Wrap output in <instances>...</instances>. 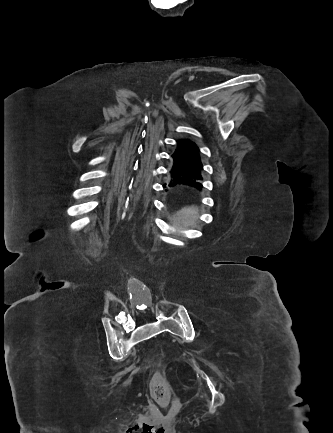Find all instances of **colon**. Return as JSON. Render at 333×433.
<instances>
[{"label": "colon", "instance_id": "obj_1", "mask_svg": "<svg viewBox=\"0 0 333 433\" xmlns=\"http://www.w3.org/2000/svg\"><path fill=\"white\" fill-rule=\"evenodd\" d=\"M150 389L153 399L160 405H167L170 401L172 388L162 371H157L151 378Z\"/></svg>", "mask_w": 333, "mask_h": 433}]
</instances>
